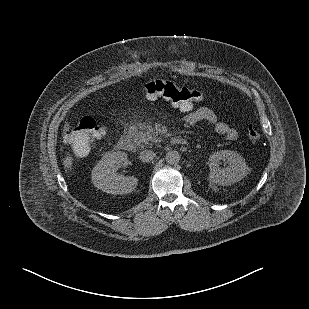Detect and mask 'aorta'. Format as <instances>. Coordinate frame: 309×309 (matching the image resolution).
<instances>
[{
  "instance_id": "762f6f07",
  "label": "aorta",
  "mask_w": 309,
  "mask_h": 309,
  "mask_svg": "<svg viewBox=\"0 0 309 309\" xmlns=\"http://www.w3.org/2000/svg\"><path fill=\"white\" fill-rule=\"evenodd\" d=\"M165 160L170 165H175L180 161V154L177 151H169L166 156Z\"/></svg>"
}]
</instances>
